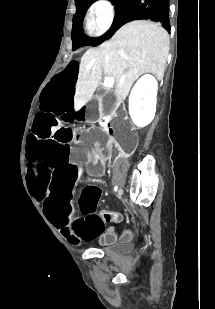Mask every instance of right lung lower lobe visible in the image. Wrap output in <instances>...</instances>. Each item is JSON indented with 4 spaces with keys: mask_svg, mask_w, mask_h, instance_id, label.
<instances>
[{
    "mask_svg": "<svg viewBox=\"0 0 215 309\" xmlns=\"http://www.w3.org/2000/svg\"><path fill=\"white\" fill-rule=\"evenodd\" d=\"M149 19L159 22L170 31L169 0H133L123 11L117 29L132 20Z\"/></svg>",
    "mask_w": 215,
    "mask_h": 309,
    "instance_id": "98d812e1",
    "label": "right lung lower lobe"
}]
</instances>
